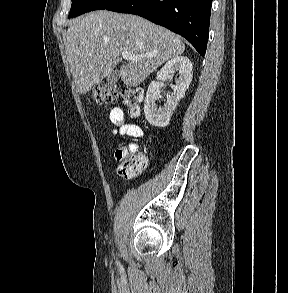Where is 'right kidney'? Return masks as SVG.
<instances>
[{"label": "right kidney", "mask_w": 288, "mask_h": 293, "mask_svg": "<svg viewBox=\"0 0 288 293\" xmlns=\"http://www.w3.org/2000/svg\"><path fill=\"white\" fill-rule=\"evenodd\" d=\"M192 62L184 56H177L169 60L164 67L158 71L156 80L152 81L148 87L144 102V114L148 122L157 127H166L169 124L172 112L178 102L184 97L192 80ZM177 72L178 77L172 85L173 92L167 95V100L163 107H159L156 101L160 98V89L163 82L171 74Z\"/></svg>", "instance_id": "1"}]
</instances>
